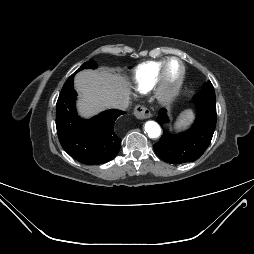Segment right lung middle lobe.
I'll return each instance as SVG.
<instances>
[{
  "label": "right lung middle lobe",
  "mask_w": 254,
  "mask_h": 254,
  "mask_svg": "<svg viewBox=\"0 0 254 254\" xmlns=\"http://www.w3.org/2000/svg\"><path fill=\"white\" fill-rule=\"evenodd\" d=\"M96 67H97V64L94 61L91 60L89 62L84 63L76 72H78V71H80L82 69H86V68L95 69Z\"/></svg>",
  "instance_id": "1"
}]
</instances>
